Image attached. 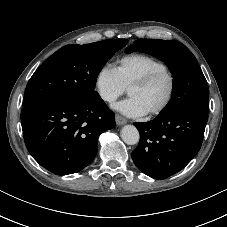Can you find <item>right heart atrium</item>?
Here are the masks:
<instances>
[{"instance_id": "d8ad5b80", "label": "right heart atrium", "mask_w": 227, "mask_h": 227, "mask_svg": "<svg viewBox=\"0 0 227 227\" xmlns=\"http://www.w3.org/2000/svg\"><path fill=\"white\" fill-rule=\"evenodd\" d=\"M94 87L99 98L108 105L114 104L126 89L114 68L109 65H104L97 71L94 77Z\"/></svg>"}]
</instances>
